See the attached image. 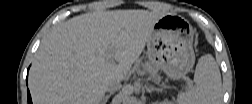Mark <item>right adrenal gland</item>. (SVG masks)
Returning a JSON list of instances; mask_svg holds the SVG:
<instances>
[{"mask_svg":"<svg viewBox=\"0 0 252 104\" xmlns=\"http://www.w3.org/2000/svg\"><path fill=\"white\" fill-rule=\"evenodd\" d=\"M114 93L107 94L103 100L101 101V104H106L109 100V98L113 95Z\"/></svg>","mask_w":252,"mask_h":104,"instance_id":"2a0ac1e0","label":"right adrenal gland"}]
</instances>
